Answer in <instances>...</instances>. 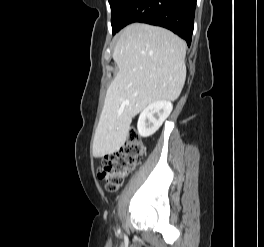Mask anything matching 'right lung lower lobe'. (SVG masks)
Segmentation results:
<instances>
[{"label": "right lung lower lobe", "mask_w": 264, "mask_h": 247, "mask_svg": "<svg viewBox=\"0 0 264 247\" xmlns=\"http://www.w3.org/2000/svg\"><path fill=\"white\" fill-rule=\"evenodd\" d=\"M196 0H130L113 34L134 22L161 26L186 40L192 39Z\"/></svg>", "instance_id": "right-lung-lower-lobe-1"}]
</instances>
